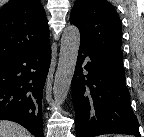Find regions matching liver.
<instances>
[{
    "label": "liver",
    "instance_id": "liver-1",
    "mask_svg": "<svg viewBox=\"0 0 144 137\" xmlns=\"http://www.w3.org/2000/svg\"><path fill=\"white\" fill-rule=\"evenodd\" d=\"M0 137H31V134L15 122L0 121Z\"/></svg>",
    "mask_w": 144,
    "mask_h": 137
}]
</instances>
